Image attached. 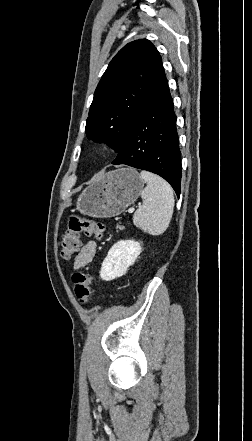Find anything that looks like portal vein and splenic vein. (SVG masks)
I'll return each instance as SVG.
<instances>
[{
    "label": "portal vein and splenic vein",
    "mask_w": 252,
    "mask_h": 441,
    "mask_svg": "<svg viewBox=\"0 0 252 441\" xmlns=\"http://www.w3.org/2000/svg\"><path fill=\"white\" fill-rule=\"evenodd\" d=\"M128 212H129V214H132V213L134 212V208H130V209L128 210Z\"/></svg>",
    "instance_id": "obj_1"
}]
</instances>
